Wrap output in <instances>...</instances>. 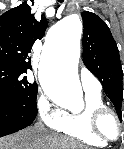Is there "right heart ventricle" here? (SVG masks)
<instances>
[{
    "instance_id": "obj_1",
    "label": "right heart ventricle",
    "mask_w": 124,
    "mask_h": 149,
    "mask_svg": "<svg viewBox=\"0 0 124 149\" xmlns=\"http://www.w3.org/2000/svg\"><path fill=\"white\" fill-rule=\"evenodd\" d=\"M105 106L100 92H85V107L78 112H65L56 131L67 137L95 148H102L107 142L99 139L91 129L90 113L94 108Z\"/></svg>"
}]
</instances>
